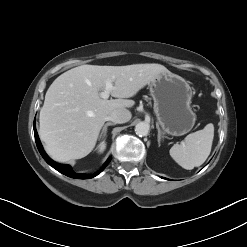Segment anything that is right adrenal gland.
<instances>
[{"label":"right adrenal gland","mask_w":247,"mask_h":247,"mask_svg":"<svg viewBox=\"0 0 247 247\" xmlns=\"http://www.w3.org/2000/svg\"><path fill=\"white\" fill-rule=\"evenodd\" d=\"M113 125H115V123H111V122L106 123L101 131L100 138L101 137L104 138L106 136L108 126H113Z\"/></svg>","instance_id":"1"}]
</instances>
